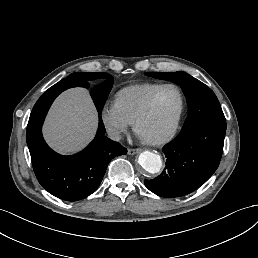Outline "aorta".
I'll list each match as a JSON object with an SVG mask.
<instances>
[{
  "mask_svg": "<svg viewBox=\"0 0 258 258\" xmlns=\"http://www.w3.org/2000/svg\"><path fill=\"white\" fill-rule=\"evenodd\" d=\"M138 163L151 174L158 173L162 167V160L159 154L150 151H144L139 155Z\"/></svg>",
  "mask_w": 258,
  "mask_h": 258,
  "instance_id": "aorta-1",
  "label": "aorta"
}]
</instances>
